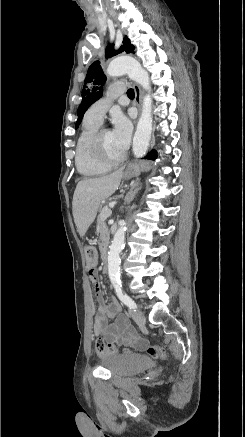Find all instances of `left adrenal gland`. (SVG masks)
<instances>
[{"mask_svg": "<svg viewBox=\"0 0 245 437\" xmlns=\"http://www.w3.org/2000/svg\"><path fill=\"white\" fill-rule=\"evenodd\" d=\"M139 184H140V179L138 178L136 182L133 184V186L131 187L130 191L126 194L125 203L129 204L134 199L135 195L141 189V187H139Z\"/></svg>", "mask_w": 245, "mask_h": 437, "instance_id": "obj_1", "label": "left adrenal gland"}]
</instances>
